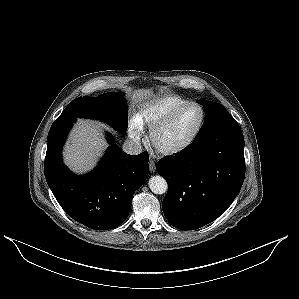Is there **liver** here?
I'll return each instance as SVG.
<instances>
[{
  "instance_id": "liver-1",
  "label": "liver",
  "mask_w": 299,
  "mask_h": 299,
  "mask_svg": "<svg viewBox=\"0 0 299 299\" xmlns=\"http://www.w3.org/2000/svg\"><path fill=\"white\" fill-rule=\"evenodd\" d=\"M150 95L151 91L140 89L134 92L132 98L138 102ZM106 147L97 125L92 121L80 119L65 146L64 163L76 173H85L94 167Z\"/></svg>"
}]
</instances>
